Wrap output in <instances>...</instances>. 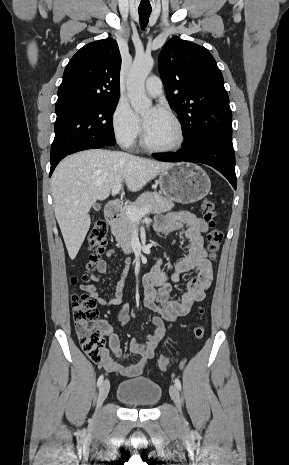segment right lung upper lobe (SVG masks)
Segmentation results:
<instances>
[{
  "label": "right lung upper lobe",
  "mask_w": 289,
  "mask_h": 465,
  "mask_svg": "<svg viewBox=\"0 0 289 465\" xmlns=\"http://www.w3.org/2000/svg\"><path fill=\"white\" fill-rule=\"evenodd\" d=\"M121 56L113 39L83 46L69 61L55 106L119 99Z\"/></svg>",
  "instance_id": "cb5924a9"
}]
</instances>
